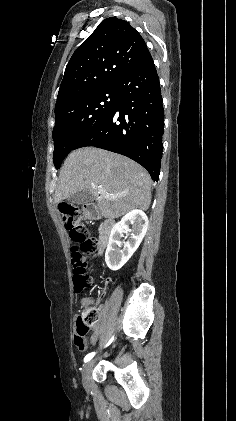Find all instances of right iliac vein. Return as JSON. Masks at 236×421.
Here are the masks:
<instances>
[{
	"instance_id": "1",
	"label": "right iliac vein",
	"mask_w": 236,
	"mask_h": 421,
	"mask_svg": "<svg viewBox=\"0 0 236 421\" xmlns=\"http://www.w3.org/2000/svg\"><path fill=\"white\" fill-rule=\"evenodd\" d=\"M94 364V360H91L89 362H87L84 366L83 372H82V382L85 388L89 387V383H90V373L92 370Z\"/></svg>"
}]
</instances>
